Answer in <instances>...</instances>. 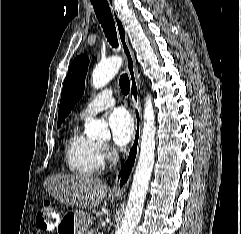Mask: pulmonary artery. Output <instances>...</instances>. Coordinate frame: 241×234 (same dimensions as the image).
I'll return each mask as SVG.
<instances>
[{
	"instance_id": "obj_1",
	"label": "pulmonary artery",
	"mask_w": 241,
	"mask_h": 234,
	"mask_svg": "<svg viewBox=\"0 0 241 234\" xmlns=\"http://www.w3.org/2000/svg\"><path fill=\"white\" fill-rule=\"evenodd\" d=\"M115 104V98L111 89L99 92L81 111L80 119L84 120L98 112L108 109Z\"/></svg>"
}]
</instances>
